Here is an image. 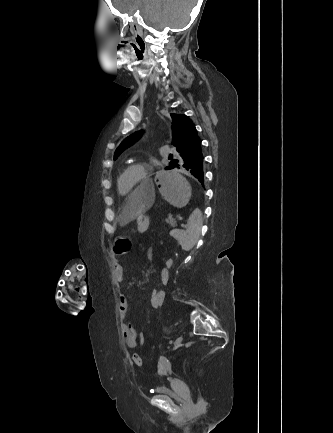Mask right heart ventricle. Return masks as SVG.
I'll return each mask as SVG.
<instances>
[{
    "instance_id": "e07e8e85",
    "label": "right heart ventricle",
    "mask_w": 333,
    "mask_h": 433,
    "mask_svg": "<svg viewBox=\"0 0 333 433\" xmlns=\"http://www.w3.org/2000/svg\"><path fill=\"white\" fill-rule=\"evenodd\" d=\"M127 191H128V190H123L122 185H121V183H120L119 186H118V192H119V194H120L121 196H125V195H127Z\"/></svg>"
}]
</instances>
